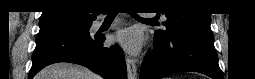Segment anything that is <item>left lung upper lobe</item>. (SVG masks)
Here are the masks:
<instances>
[{"label": "left lung upper lobe", "instance_id": "1", "mask_svg": "<svg viewBox=\"0 0 255 79\" xmlns=\"http://www.w3.org/2000/svg\"><path fill=\"white\" fill-rule=\"evenodd\" d=\"M159 8L165 10L167 21L163 22L166 31H155V38L167 40L170 36L186 30L210 31V14L199 11L182 12L180 2L173 0L159 1Z\"/></svg>", "mask_w": 255, "mask_h": 79}]
</instances>
